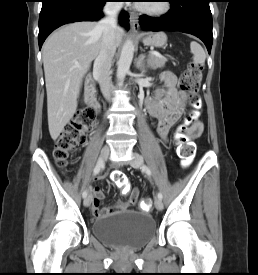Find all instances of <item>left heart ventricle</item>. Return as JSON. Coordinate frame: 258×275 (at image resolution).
<instances>
[{
	"label": "left heart ventricle",
	"mask_w": 258,
	"mask_h": 275,
	"mask_svg": "<svg viewBox=\"0 0 258 275\" xmlns=\"http://www.w3.org/2000/svg\"><path fill=\"white\" fill-rule=\"evenodd\" d=\"M150 3L141 4L142 6L149 7V8H158L161 5V1H146Z\"/></svg>",
	"instance_id": "1"
}]
</instances>
